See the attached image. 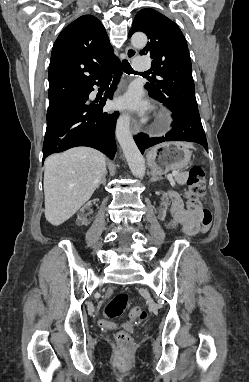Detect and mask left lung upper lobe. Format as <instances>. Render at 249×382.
Segmentation results:
<instances>
[{"label":"left lung upper lobe","instance_id":"1","mask_svg":"<svg viewBox=\"0 0 249 382\" xmlns=\"http://www.w3.org/2000/svg\"><path fill=\"white\" fill-rule=\"evenodd\" d=\"M136 31L148 35L149 42L140 55L152 58V70L158 75L145 85L150 95L170 109L198 111L190 54L177 24L156 10L145 8L135 16L129 37Z\"/></svg>","mask_w":249,"mask_h":382}]
</instances>
